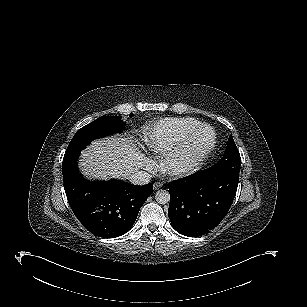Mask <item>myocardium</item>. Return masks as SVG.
Masks as SVG:
<instances>
[{"label": "myocardium", "instance_id": "1", "mask_svg": "<svg viewBox=\"0 0 307 307\" xmlns=\"http://www.w3.org/2000/svg\"><path fill=\"white\" fill-rule=\"evenodd\" d=\"M203 128L204 126H199L198 128H196L194 133L190 135L189 137H187L186 139H184L183 142L180 143L171 154L166 155L162 159H160V168L163 173L169 176H173V177L182 176L192 171L195 167H197L203 161L206 150H207L206 146L205 147L200 146L196 150L194 158L192 159L191 162L182 163L180 165L173 164V160L175 156L179 153V151L183 149L184 147L192 145L197 140ZM209 130L211 132V142H212L214 138V132L212 129H209Z\"/></svg>", "mask_w": 307, "mask_h": 307}]
</instances>
